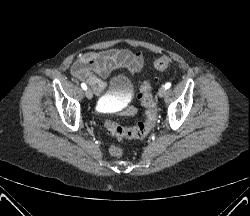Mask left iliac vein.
<instances>
[{"label":"left iliac vein","instance_id":"obj_1","mask_svg":"<svg viewBox=\"0 0 250 216\" xmlns=\"http://www.w3.org/2000/svg\"><path fill=\"white\" fill-rule=\"evenodd\" d=\"M166 93H167V89L165 88V87H161L160 89H159V91H158V95H159V97H164L165 95H166Z\"/></svg>","mask_w":250,"mask_h":216}]
</instances>
